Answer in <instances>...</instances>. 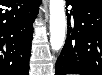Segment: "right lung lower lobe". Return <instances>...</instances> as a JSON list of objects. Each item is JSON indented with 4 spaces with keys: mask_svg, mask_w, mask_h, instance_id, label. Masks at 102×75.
<instances>
[{
    "mask_svg": "<svg viewBox=\"0 0 102 75\" xmlns=\"http://www.w3.org/2000/svg\"><path fill=\"white\" fill-rule=\"evenodd\" d=\"M41 0L0 1V75H28L33 22Z\"/></svg>",
    "mask_w": 102,
    "mask_h": 75,
    "instance_id": "98d812e1",
    "label": "right lung lower lobe"
}]
</instances>
